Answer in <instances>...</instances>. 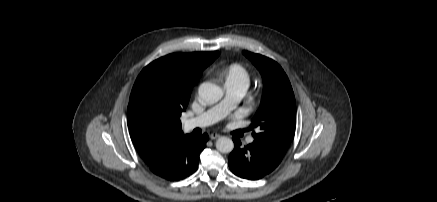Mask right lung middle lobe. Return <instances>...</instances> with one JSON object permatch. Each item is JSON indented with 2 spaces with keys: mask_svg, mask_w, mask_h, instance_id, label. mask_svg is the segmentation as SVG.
Listing matches in <instances>:
<instances>
[{
  "mask_svg": "<svg viewBox=\"0 0 437 202\" xmlns=\"http://www.w3.org/2000/svg\"><path fill=\"white\" fill-rule=\"evenodd\" d=\"M170 70L161 63H151L137 77L127 115L150 123L180 121L182 110L168 99Z\"/></svg>",
  "mask_w": 437,
  "mask_h": 202,
  "instance_id": "right-lung-middle-lobe-1",
  "label": "right lung middle lobe"
}]
</instances>
